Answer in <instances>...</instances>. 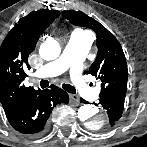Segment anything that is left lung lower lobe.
Returning <instances> with one entry per match:
<instances>
[{
    "mask_svg": "<svg viewBox=\"0 0 147 147\" xmlns=\"http://www.w3.org/2000/svg\"><path fill=\"white\" fill-rule=\"evenodd\" d=\"M124 101V93H111L109 95L100 97L98 104L107 111L109 117V122L106 127L114 126L116 122L120 119L124 109ZM80 102L87 103L82 98L80 99Z\"/></svg>",
    "mask_w": 147,
    "mask_h": 147,
    "instance_id": "1",
    "label": "left lung lower lobe"
}]
</instances>
